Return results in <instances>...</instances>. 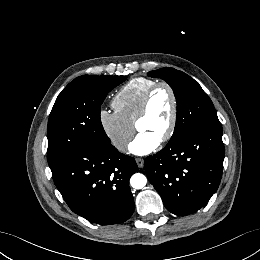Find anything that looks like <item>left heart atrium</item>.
<instances>
[{
  "instance_id": "obj_1",
  "label": "left heart atrium",
  "mask_w": 260,
  "mask_h": 260,
  "mask_svg": "<svg viewBox=\"0 0 260 260\" xmlns=\"http://www.w3.org/2000/svg\"><path fill=\"white\" fill-rule=\"evenodd\" d=\"M160 141L147 133H139L130 143L129 151L135 155H145L153 152Z\"/></svg>"
}]
</instances>
